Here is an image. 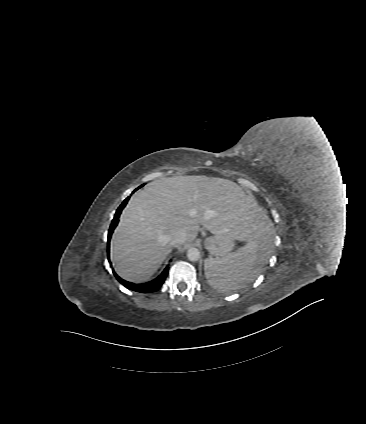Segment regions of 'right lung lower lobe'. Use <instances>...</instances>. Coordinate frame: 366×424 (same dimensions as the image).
I'll return each mask as SVG.
<instances>
[{
	"label": "right lung lower lobe",
	"instance_id": "obj_1",
	"mask_svg": "<svg viewBox=\"0 0 366 424\" xmlns=\"http://www.w3.org/2000/svg\"><path fill=\"white\" fill-rule=\"evenodd\" d=\"M129 198L130 197L126 198L124 200V202L120 205V207L116 211L114 219L112 220V223H111V226H110V229H109V233H108V251H109V244H110L109 242H110L111 235L113 233L114 228L118 224V218L120 216V213H121L122 209L125 207ZM168 269L169 268L166 267L165 270L162 272V274L159 277H157L155 280H153L151 282L143 283V284H134V283L127 282V281L121 279L114 271H113V273H114L115 277L117 278V280L122 285L127 287L128 289L133 290V291H137V292L147 293V292H153V291L157 290L163 284V282H164V280H165V278L168 274Z\"/></svg>",
	"mask_w": 366,
	"mask_h": 424
}]
</instances>
